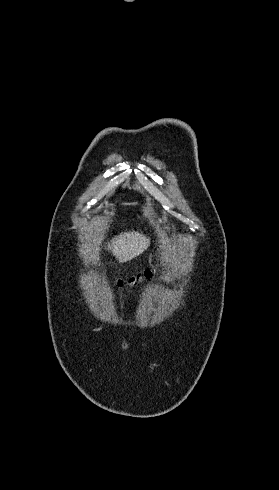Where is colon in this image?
I'll return each mask as SVG.
<instances>
[{"mask_svg":"<svg viewBox=\"0 0 279 490\" xmlns=\"http://www.w3.org/2000/svg\"><path fill=\"white\" fill-rule=\"evenodd\" d=\"M147 275H148V272H146L144 275L142 274V275H138V276H136V277H133V278H132V280H133L134 282H138V281L143 280V279H144V278H145Z\"/></svg>","mask_w":279,"mask_h":490,"instance_id":"colon-1","label":"colon"}]
</instances>
